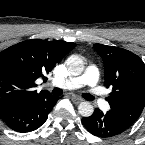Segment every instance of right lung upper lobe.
<instances>
[{"label": "right lung upper lobe", "instance_id": "right-lung-upper-lobe-1", "mask_svg": "<svg viewBox=\"0 0 145 145\" xmlns=\"http://www.w3.org/2000/svg\"><path fill=\"white\" fill-rule=\"evenodd\" d=\"M75 43L32 39L0 53V113L12 107L36 102L50 93H37L35 81L48 74Z\"/></svg>", "mask_w": 145, "mask_h": 145}]
</instances>
